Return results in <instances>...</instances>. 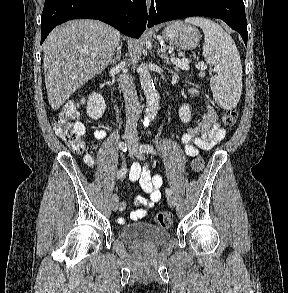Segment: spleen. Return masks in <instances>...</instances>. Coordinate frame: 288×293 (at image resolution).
<instances>
[{
    "label": "spleen",
    "mask_w": 288,
    "mask_h": 293,
    "mask_svg": "<svg viewBox=\"0 0 288 293\" xmlns=\"http://www.w3.org/2000/svg\"><path fill=\"white\" fill-rule=\"evenodd\" d=\"M185 22L203 30V56L216 73L210 78L215 101L224 109L236 107L242 92V64L234 40L210 19L190 17Z\"/></svg>",
    "instance_id": "obj_1"
}]
</instances>
